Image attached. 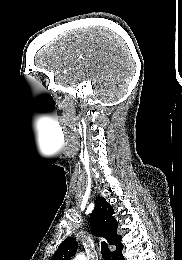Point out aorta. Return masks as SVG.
Masks as SVG:
<instances>
[{
	"label": "aorta",
	"instance_id": "obj_1",
	"mask_svg": "<svg viewBox=\"0 0 182 260\" xmlns=\"http://www.w3.org/2000/svg\"><path fill=\"white\" fill-rule=\"evenodd\" d=\"M74 260H87L84 254H78Z\"/></svg>",
	"mask_w": 182,
	"mask_h": 260
}]
</instances>
